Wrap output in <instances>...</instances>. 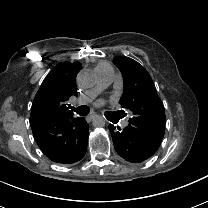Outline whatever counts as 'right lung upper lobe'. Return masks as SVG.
Returning a JSON list of instances; mask_svg holds the SVG:
<instances>
[{
	"label": "right lung upper lobe",
	"instance_id": "right-lung-upper-lobe-1",
	"mask_svg": "<svg viewBox=\"0 0 208 208\" xmlns=\"http://www.w3.org/2000/svg\"><path fill=\"white\" fill-rule=\"evenodd\" d=\"M82 65L64 62L54 67L42 82L32 104L31 120L45 118L70 119L73 112L67 101L77 96L76 75Z\"/></svg>",
	"mask_w": 208,
	"mask_h": 208
}]
</instances>
